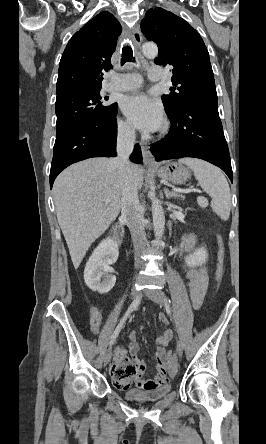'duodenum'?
<instances>
[{
	"mask_svg": "<svg viewBox=\"0 0 266 444\" xmlns=\"http://www.w3.org/2000/svg\"><path fill=\"white\" fill-rule=\"evenodd\" d=\"M115 238L118 242H121L123 239V229L122 226H117L115 229Z\"/></svg>",
	"mask_w": 266,
	"mask_h": 444,
	"instance_id": "1",
	"label": "duodenum"
}]
</instances>
